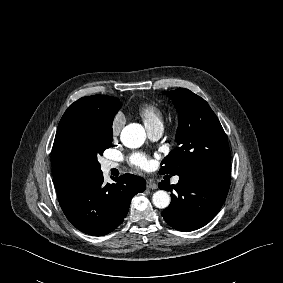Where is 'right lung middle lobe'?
Here are the masks:
<instances>
[{"mask_svg": "<svg viewBox=\"0 0 283 283\" xmlns=\"http://www.w3.org/2000/svg\"><path fill=\"white\" fill-rule=\"evenodd\" d=\"M120 107L113 106L112 112L103 117L73 114L64 121L57 165L65 177L80 181L101 171L97 157L112 144V120Z\"/></svg>", "mask_w": 283, "mask_h": 283, "instance_id": "obj_1", "label": "right lung middle lobe"}]
</instances>
